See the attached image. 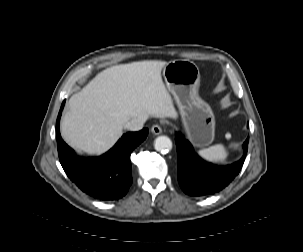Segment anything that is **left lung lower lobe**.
I'll list each match as a JSON object with an SVG mask.
<instances>
[{
  "mask_svg": "<svg viewBox=\"0 0 303 252\" xmlns=\"http://www.w3.org/2000/svg\"><path fill=\"white\" fill-rule=\"evenodd\" d=\"M248 140L243 143L244 154L240 160L227 166H216L205 162L194 151L181 133H176L178 155V182L182 190L192 196L216 193L225 188L240 172L244 163Z\"/></svg>",
  "mask_w": 303,
  "mask_h": 252,
  "instance_id": "1",
  "label": "left lung lower lobe"
}]
</instances>
